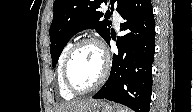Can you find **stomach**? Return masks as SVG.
I'll use <instances>...</instances> for the list:
<instances>
[{
	"label": "stomach",
	"mask_w": 193,
	"mask_h": 112,
	"mask_svg": "<svg viewBox=\"0 0 193 112\" xmlns=\"http://www.w3.org/2000/svg\"><path fill=\"white\" fill-rule=\"evenodd\" d=\"M83 112H115L114 109L105 101H96L93 105Z\"/></svg>",
	"instance_id": "stomach-1"
}]
</instances>
